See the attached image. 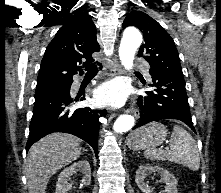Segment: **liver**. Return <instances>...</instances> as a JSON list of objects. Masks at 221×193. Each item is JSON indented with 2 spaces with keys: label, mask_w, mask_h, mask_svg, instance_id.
Instances as JSON below:
<instances>
[{
  "label": "liver",
  "mask_w": 221,
  "mask_h": 193,
  "mask_svg": "<svg viewBox=\"0 0 221 193\" xmlns=\"http://www.w3.org/2000/svg\"><path fill=\"white\" fill-rule=\"evenodd\" d=\"M80 154V140L71 134L52 133L34 143L25 163L29 193H45L49 179Z\"/></svg>",
  "instance_id": "6515ba94"
}]
</instances>
